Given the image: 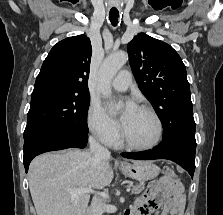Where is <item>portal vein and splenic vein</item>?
Masks as SVG:
<instances>
[{"mask_svg":"<svg viewBox=\"0 0 223 215\" xmlns=\"http://www.w3.org/2000/svg\"><path fill=\"white\" fill-rule=\"evenodd\" d=\"M131 188V186L125 188L126 193H129ZM70 193L72 199H74V197H78L79 193H94V189H92L91 185H89V187H77V189H71ZM99 195L106 197V199L109 197L108 191H99Z\"/></svg>","mask_w":223,"mask_h":215,"instance_id":"obj_1","label":"portal vein and splenic vein"}]
</instances>
